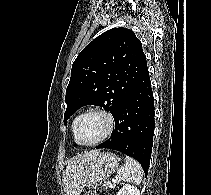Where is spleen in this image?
<instances>
[{"instance_id": "3e777b00", "label": "spleen", "mask_w": 211, "mask_h": 195, "mask_svg": "<svg viewBox=\"0 0 211 195\" xmlns=\"http://www.w3.org/2000/svg\"><path fill=\"white\" fill-rule=\"evenodd\" d=\"M118 174L124 181L140 184L142 182L143 169L136 160L126 156L125 164L120 168Z\"/></svg>"}]
</instances>
